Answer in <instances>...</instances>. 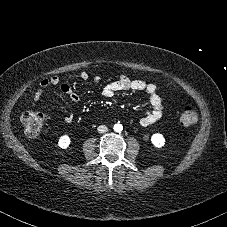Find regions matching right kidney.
Instances as JSON below:
<instances>
[{"label": "right kidney", "instance_id": "ca27d5eb", "mask_svg": "<svg viewBox=\"0 0 227 227\" xmlns=\"http://www.w3.org/2000/svg\"><path fill=\"white\" fill-rule=\"evenodd\" d=\"M70 142H71L70 137L68 135H63L59 138L58 146L61 149H66L70 145Z\"/></svg>", "mask_w": 227, "mask_h": 227}]
</instances>
